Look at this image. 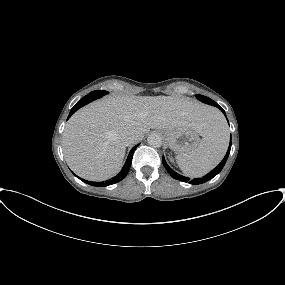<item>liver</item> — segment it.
Returning a JSON list of instances; mask_svg holds the SVG:
<instances>
[{
    "mask_svg": "<svg viewBox=\"0 0 285 285\" xmlns=\"http://www.w3.org/2000/svg\"><path fill=\"white\" fill-rule=\"evenodd\" d=\"M221 114L213 107L173 96H109L78 110L63 132L64 158L73 172L103 181L116 175L126 152L123 135L143 138L150 128H191L205 137Z\"/></svg>",
    "mask_w": 285,
    "mask_h": 285,
    "instance_id": "1",
    "label": "liver"
}]
</instances>
